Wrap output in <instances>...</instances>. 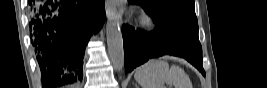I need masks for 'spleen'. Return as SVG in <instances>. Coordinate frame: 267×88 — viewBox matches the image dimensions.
<instances>
[{"label": "spleen", "mask_w": 267, "mask_h": 88, "mask_svg": "<svg viewBox=\"0 0 267 88\" xmlns=\"http://www.w3.org/2000/svg\"><path fill=\"white\" fill-rule=\"evenodd\" d=\"M134 78L141 88H165V84L174 88H192L181 67H169L168 62L162 59H152L138 67Z\"/></svg>", "instance_id": "3e777b00"}]
</instances>
